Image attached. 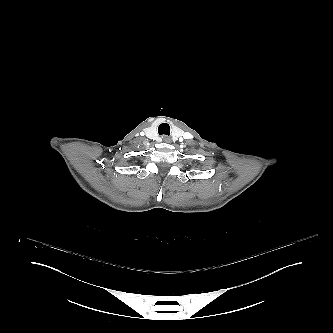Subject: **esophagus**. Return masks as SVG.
Returning a JSON list of instances; mask_svg holds the SVG:
<instances>
[{"label": "esophagus", "instance_id": "obj_1", "mask_svg": "<svg viewBox=\"0 0 333 333\" xmlns=\"http://www.w3.org/2000/svg\"><path fill=\"white\" fill-rule=\"evenodd\" d=\"M163 141L166 143H170L171 142V138L167 137V136H163L162 137Z\"/></svg>", "mask_w": 333, "mask_h": 333}]
</instances>
